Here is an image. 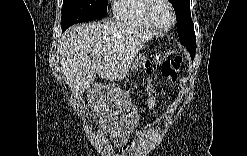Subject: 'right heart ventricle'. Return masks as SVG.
<instances>
[{
    "label": "right heart ventricle",
    "mask_w": 247,
    "mask_h": 156,
    "mask_svg": "<svg viewBox=\"0 0 247 156\" xmlns=\"http://www.w3.org/2000/svg\"><path fill=\"white\" fill-rule=\"evenodd\" d=\"M148 0H119L114 3L113 13L117 20L143 28H153L146 16Z\"/></svg>",
    "instance_id": "e07e8e85"
}]
</instances>
